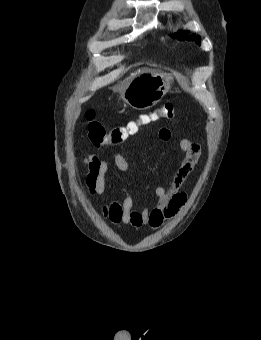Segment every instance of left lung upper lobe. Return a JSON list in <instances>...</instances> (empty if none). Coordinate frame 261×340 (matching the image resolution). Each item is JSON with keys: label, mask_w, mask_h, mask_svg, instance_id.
<instances>
[{"label": "left lung upper lobe", "mask_w": 261, "mask_h": 340, "mask_svg": "<svg viewBox=\"0 0 261 340\" xmlns=\"http://www.w3.org/2000/svg\"><path fill=\"white\" fill-rule=\"evenodd\" d=\"M188 32H182L179 34L172 35L173 38H178V39H186V40H194L197 44H200V36H196L195 34L187 36Z\"/></svg>", "instance_id": "5c2ea615"}]
</instances>
